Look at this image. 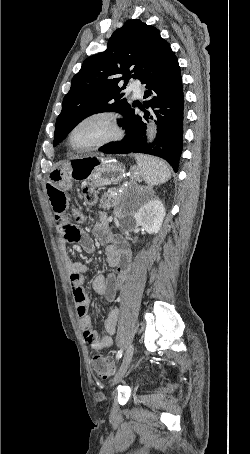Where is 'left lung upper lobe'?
Returning a JSON list of instances; mask_svg holds the SVG:
<instances>
[{"label": "left lung upper lobe", "instance_id": "obj_1", "mask_svg": "<svg viewBox=\"0 0 250 454\" xmlns=\"http://www.w3.org/2000/svg\"><path fill=\"white\" fill-rule=\"evenodd\" d=\"M171 51L158 29L141 20H128L113 33L107 49L88 57L72 78L56 120L53 145L90 115L114 111L125 116L131 106L120 93L125 84L130 78L141 80L150 74ZM121 81L125 84L120 88Z\"/></svg>", "mask_w": 250, "mask_h": 454}]
</instances>
